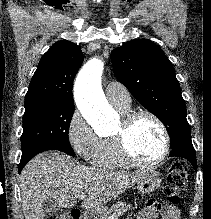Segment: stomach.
Here are the masks:
<instances>
[{
    "instance_id": "1",
    "label": "stomach",
    "mask_w": 211,
    "mask_h": 219,
    "mask_svg": "<svg viewBox=\"0 0 211 219\" xmlns=\"http://www.w3.org/2000/svg\"><path fill=\"white\" fill-rule=\"evenodd\" d=\"M161 184V179L159 178V173L155 171H148L146 176H144L137 183V189L142 194H149L154 192ZM104 212V209H97L96 214H101Z\"/></svg>"
}]
</instances>
